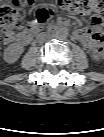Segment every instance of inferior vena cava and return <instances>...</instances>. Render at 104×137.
I'll list each match as a JSON object with an SVG mask.
<instances>
[{"label": "inferior vena cava", "mask_w": 104, "mask_h": 137, "mask_svg": "<svg viewBox=\"0 0 104 137\" xmlns=\"http://www.w3.org/2000/svg\"><path fill=\"white\" fill-rule=\"evenodd\" d=\"M38 41L40 44L45 45L48 42V38L45 35H41V36H39Z\"/></svg>", "instance_id": "obj_1"}]
</instances>
